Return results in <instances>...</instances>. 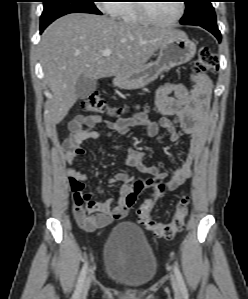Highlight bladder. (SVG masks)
I'll return each mask as SVG.
<instances>
[{"label": "bladder", "instance_id": "obj_1", "mask_svg": "<svg viewBox=\"0 0 248 299\" xmlns=\"http://www.w3.org/2000/svg\"><path fill=\"white\" fill-rule=\"evenodd\" d=\"M106 275L127 290L147 286L157 272L154 249L133 222H122L110 232L104 246Z\"/></svg>", "mask_w": 248, "mask_h": 299}]
</instances>
